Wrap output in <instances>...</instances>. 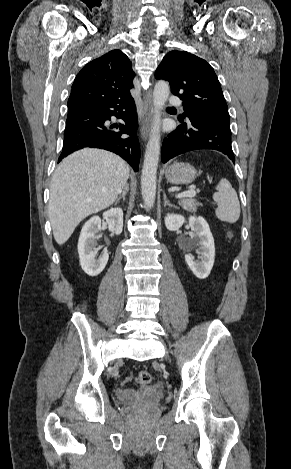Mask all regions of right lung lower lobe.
Instances as JSON below:
<instances>
[{
  "label": "right lung lower lobe",
  "instance_id": "1",
  "mask_svg": "<svg viewBox=\"0 0 291 469\" xmlns=\"http://www.w3.org/2000/svg\"><path fill=\"white\" fill-rule=\"evenodd\" d=\"M111 116L122 119L124 124L111 123ZM137 128L133 98L96 100L71 109L58 162L85 147L101 148L118 154L137 171L140 159Z\"/></svg>",
  "mask_w": 291,
  "mask_h": 469
}]
</instances>
